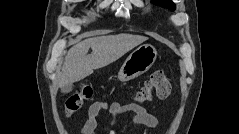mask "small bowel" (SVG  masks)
<instances>
[{
  "label": "small bowel",
  "instance_id": "1",
  "mask_svg": "<svg viewBox=\"0 0 239 134\" xmlns=\"http://www.w3.org/2000/svg\"><path fill=\"white\" fill-rule=\"evenodd\" d=\"M102 111H108L113 120H116L123 114L131 113L133 115L131 121L133 126L144 125L147 129H153L158 125L157 117L139 104H121L119 102L108 104L96 101L88 109V118L81 127V134H98L97 117Z\"/></svg>",
  "mask_w": 239,
  "mask_h": 134
}]
</instances>
